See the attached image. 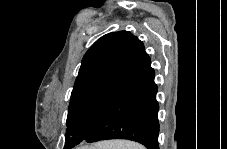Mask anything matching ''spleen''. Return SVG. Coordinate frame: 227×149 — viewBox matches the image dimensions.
Masks as SVG:
<instances>
[{"instance_id": "spleen-1", "label": "spleen", "mask_w": 227, "mask_h": 149, "mask_svg": "<svg viewBox=\"0 0 227 149\" xmlns=\"http://www.w3.org/2000/svg\"><path fill=\"white\" fill-rule=\"evenodd\" d=\"M97 146L98 149H144L142 145L132 141H107Z\"/></svg>"}]
</instances>
